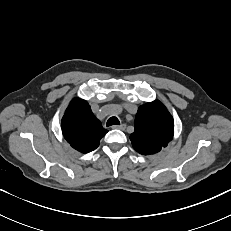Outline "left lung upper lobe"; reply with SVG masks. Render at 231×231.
<instances>
[{"instance_id":"5c2ea615","label":"left lung upper lobe","mask_w":231,"mask_h":231,"mask_svg":"<svg viewBox=\"0 0 231 231\" xmlns=\"http://www.w3.org/2000/svg\"><path fill=\"white\" fill-rule=\"evenodd\" d=\"M134 128L130 136L134 149L143 155L155 154L172 140L174 121L165 106L156 100L139 107Z\"/></svg>"}]
</instances>
